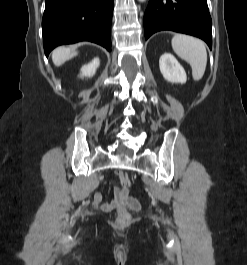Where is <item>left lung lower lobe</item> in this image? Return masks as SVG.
<instances>
[{
    "label": "left lung lower lobe",
    "mask_w": 247,
    "mask_h": 265,
    "mask_svg": "<svg viewBox=\"0 0 247 265\" xmlns=\"http://www.w3.org/2000/svg\"><path fill=\"white\" fill-rule=\"evenodd\" d=\"M211 17L206 0H149L144 15L145 39L172 30L203 39L212 47Z\"/></svg>",
    "instance_id": "1"
}]
</instances>
